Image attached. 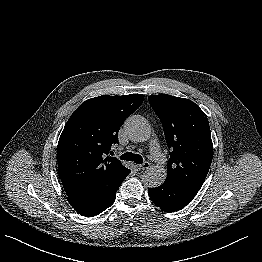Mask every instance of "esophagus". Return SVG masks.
<instances>
[{"mask_svg":"<svg viewBox=\"0 0 262 262\" xmlns=\"http://www.w3.org/2000/svg\"><path fill=\"white\" fill-rule=\"evenodd\" d=\"M139 170H147L151 167L149 162H144L143 164L136 165Z\"/></svg>","mask_w":262,"mask_h":262,"instance_id":"obj_1","label":"esophagus"}]
</instances>
